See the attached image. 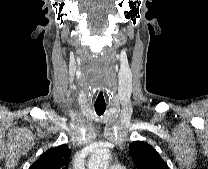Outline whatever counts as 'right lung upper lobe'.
<instances>
[{
    "mask_svg": "<svg viewBox=\"0 0 208 169\" xmlns=\"http://www.w3.org/2000/svg\"><path fill=\"white\" fill-rule=\"evenodd\" d=\"M71 150L63 144L40 155L29 169H68Z\"/></svg>",
    "mask_w": 208,
    "mask_h": 169,
    "instance_id": "1",
    "label": "right lung upper lobe"
}]
</instances>
